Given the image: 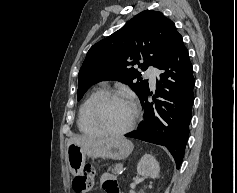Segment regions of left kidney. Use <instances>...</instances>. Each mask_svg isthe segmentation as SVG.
<instances>
[{"instance_id":"obj_1","label":"left kidney","mask_w":237,"mask_h":193,"mask_svg":"<svg viewBox=\"0 0 237 193\" xmlns=\"http://www.w3.org/2000/svg\"><path fill=\"white\" fill-rule=\"evenodd\" d=\"M160 166L158 161L150 154H145L137 165V173L153 179L159 177Z\"/></svg>"}]
</instances>
